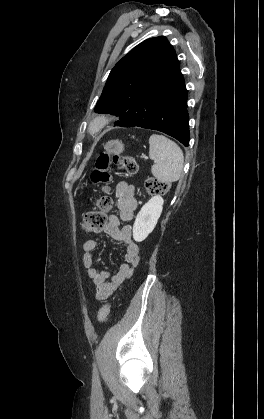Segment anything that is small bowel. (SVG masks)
Listing matches in <instances>:
<instances>
[{
	"label": "small bowel",
	"mask_w": 264,
	"mask_h": 419,
	"mask_svg": "<svg viewBox=\"0 0 264 419\" xmlns=\"http://www.w3.org/2000/svg\"><path fill=\"white\" fill-rule=\"evenodd\" d=\"M115 196L119 213L108 217L103 230L114 241L125 247L124 262L114 274H110L106 270H99L93 267L97 241L89 239L83 244V264L87 269L88 276L96 286L95 297L98 301L110 297L132 275L139 263V246L133 240L132 226L129 224L137 207L134 186L126 181L118 182L115 187ZM122 223L125 224L122 225Z\"/></svg>",
	"instance_id": "1"
}]
</instances>
